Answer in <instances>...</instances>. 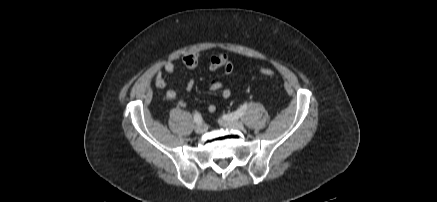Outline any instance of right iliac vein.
Instances as JSON below:
<instances>
[{
  "label": "right iliac vein",
  "mask_w": 437,
  "mask_h": 202,
  "mask_svg": "<svg viewBox=\"0 0 437 202\" xmlns=\"http://www.w3.org/2000/svg\"><path fill=\"white\" fill-rule=\"evenodd\" d=\"M206 130H207V127L205 124H198L195 126V132L197 134H203L206 132Z\"/></svg>",
  "instance_id": "obj_1"
}]
</instances>
